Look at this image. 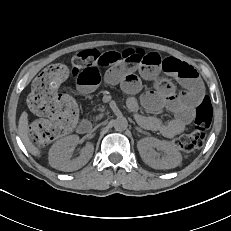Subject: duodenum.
I'll return each mask as SVG.
<instances>
[{
    "label": "duodenum",
    "mask_w": 231,
    "mask_h": 231,
    "mask_svg": "<svg viewBox=\"0 0 231 231\" xmlns=\"http://www.w3.org/2000/svg\"><path fill=\"white\" fill-rule=\"evenodd\" d=\"M91 128H92L91 123L88 120H83L78 125L77 131L80 134H87L90 132Z\"/></svg>",
    "instance_id": "410a0bca"
}]
</instances>
